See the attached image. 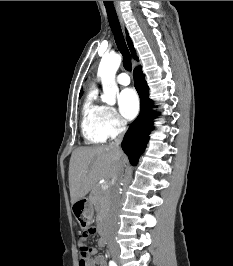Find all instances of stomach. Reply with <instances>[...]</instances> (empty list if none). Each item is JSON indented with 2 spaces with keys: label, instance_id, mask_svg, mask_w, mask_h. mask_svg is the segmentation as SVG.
<instances>
[{
  "label": "stomach",
  "instance_id": "0dacf381",
  "mask_svg": "<svg viewBox=\"0 0 233 266\" xmlns=\"http://www.w3.org/2000/svg\"><path fill=\"white\" fill-rule=\"evenodd\" d=\"M90 209H93L91 199H76L74 217L77 225H79L78 232H85V228H92L93 220Z\"/></svg>",
  "mask_w": 233,
  "mask_h": 266
}]
</instances>
